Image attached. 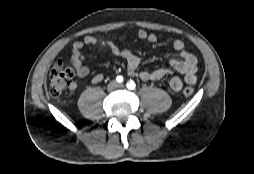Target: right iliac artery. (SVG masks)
<instances>
[{
  "label": "right iliac artery",
  "instance_id": "obj_1",
  "mask_svg": "<svg viewBox=\"0 0 254 174\" xmlns=\"http://www.w3.org/2000/svg\"><path fill=\"white\" fill-rule=\"evenodd\" d=\"M116 81L118 83H122L123 82V77L122 76H117Z\"/></svg>",
  "mask_w": 254,
  "mask_h": 174
}]
</instances>
